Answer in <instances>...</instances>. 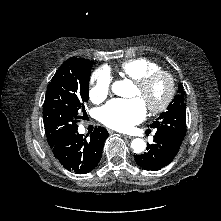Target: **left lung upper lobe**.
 I'll return each instance as SVG.
<instances>
[{
    "instance_id": "1",
    "label": "left lung upper lobe",
    "mask_w": 221,
    "mask_h": 221,
    "mask_svg": "<svg viewBox=\"0 0 221 221\" xmlns=\"http://www.w3.org/2000/svg\"><path fill=\"white\" fill-rule=\"evenodd\" d=\"M184 91L183 86L179 85L178 95L169 104L167 111L163 112L154 121L150 128H157L159 126H165L172 130H175L182 136L186 134V105L184 103Z\"/></svg>"
}]
</instances>
